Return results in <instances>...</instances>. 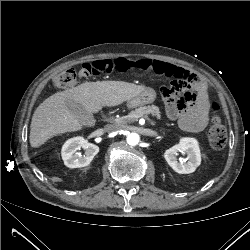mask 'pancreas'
Wrapping results in <instances>:
<instances>
[{"instance_id": "pancreas-1", "label": "pancreas", "mask_w": 250, "mask_h": 250, "mask_svg": "<svg viewBox=\"0 0 250 250\" xmlns=\"http://www.w3.org/2000/svg\"><path fill=\"white\" fill-rule=\"evenodd\" d=\"M149 114H151L153 116H157V118L161 117V112H160L159 108L155 105H151V106H141L138 109H136L135 111H131V113L128 116L113 119V121L116 124H125V123H129V122H134L139 117H141L143 115H149Z\"/></svg>"}]
</instances>
